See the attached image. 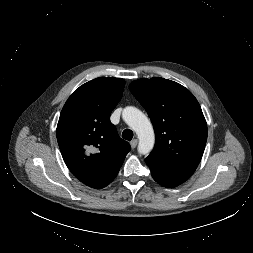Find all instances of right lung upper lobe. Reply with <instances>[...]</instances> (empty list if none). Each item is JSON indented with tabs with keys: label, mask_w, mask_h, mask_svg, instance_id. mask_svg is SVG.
<instances>
[{
	"label": "right lung upper lobe",
	"mask_w": 253,
	"mask_h": 253,
	"mask_svg": "<svg viewBox=\"0 0 253 253\" xmlns=\"http://www.w3.org/2000/svg\"><path fill=\"white\" fill-rule=\"evenodd\" d=\"M121 78H96L80 86L66 101L57 125V141L69 170L89 187L110 184L130 151L110 121L122 97Z\"/></svg>",
	"instance_id": "obj_1"
}]
</instances>
